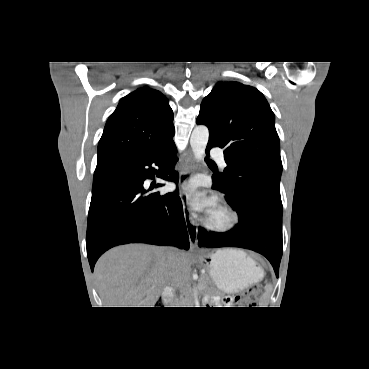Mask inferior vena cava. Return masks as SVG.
Wrapping results in <instances>:
<instances>
[{"label": "inferior vena cava", "mask_w": 369, "mask_h": 369, "mask_svg": "<svg viewBox=\"0 0 369 369\" xmlns=\"http://www.w3.org/2000/svg\"><path fill=\"white\" fill-rule=\"evenodd\" d=\"M174 250L175 249L169 248V253L167 254V260H168V262H171L173 260V257H172L171 254L173 253Z\"/></svg>", "instance_id": "1"}]
</instances>
